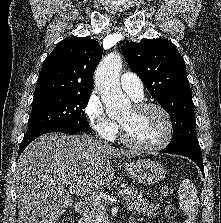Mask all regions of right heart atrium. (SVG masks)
Wrapping results in <instances>:
<instances>
[{"label":"right heart atrium","instance_id":"d8ad5b80","mask_svg":"<svg viewBox=\"0 0 221 223\" xmlns=\"http://www.w3.org/2000/svg\"><path fill=\"white\" fill-rule=\"evenodd\" d=\"M84 114L91 128L101 138L111 140L117 135V123L106 115L102 101L95 94L88 97Z\"/></svg>","mask_w":221,"mask_h":223}]
</instances>
